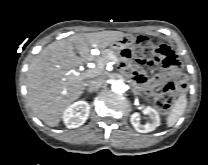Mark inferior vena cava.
Instances as JSON below:
<instances>
[{
    "label": "inferior vena cava",
    "instance_id": "1",
    "mask_svg": "<svg viewBox=\"0 0 208 165\" xmlns=\"http://www.w3.org/2000/svg\"><path fill=\"white\" fill-rule=\"evenodd\" d=\"M104 82L105 81L102 78H95L91 80L88 84V91L92 92L94 90H97L98 88L104 85Z\"/></svg>",
    "mask_w": 208,
    "mask_h": 165
}]
</instances>
